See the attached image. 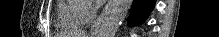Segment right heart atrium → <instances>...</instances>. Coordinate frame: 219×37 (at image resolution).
I'll list each match as a JSON object with an SVG mask.
<instances>
[{
    "label": "right heart atrium",
    "mask_w": 219,
    "mask_h": 37,
    "mask_svg": "<svg viewBox=\"0 0 219 37\" xmlns=\"http://www.w3.org/2000/svg\"><path fill=\"white\" fill-rule=\"evenodd\" d=\"M81 3L83 6V10L81 12V17H82L83 21H88L94 15V8L92 6L91 1H89V0L81 1Z\"/></svg>",
    "instance_id": "d8ad5b80"
}]
</instances>
